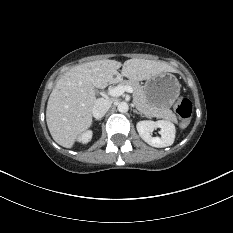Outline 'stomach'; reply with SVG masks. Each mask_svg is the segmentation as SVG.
<instances>
[{"label": "stomach", "instance_id": "0dacf381", "mask_svg": "<svg viewBox=\"0 0 233 233\" xmlns=\"http://www.w3.org/2000/svg\"><path fill=\"white\" fill-rule=\"evenodd\" d=\"M143 90L150 105L169 109L180 94L178 79L171 73H161L146 80Z\"/></svg>", "mask_w": 233, "mask_h": 233}]
</instances>
